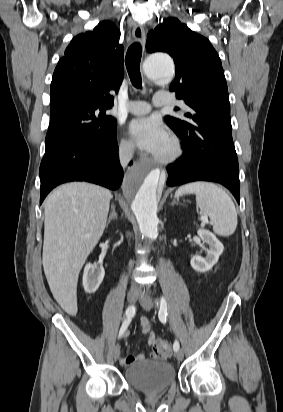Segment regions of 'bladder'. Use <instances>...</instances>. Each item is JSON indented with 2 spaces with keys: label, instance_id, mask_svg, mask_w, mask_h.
<instances>
[{
  "label": "bladder",
  "instance_id": "obj_1",
  "mask_svg": "<svg viewBox=\"0 0 283 412\" xmlns=\"http://www.w3.org/2000/svg\"><path fill=\"white\" fill-rule=\"evenodd\" d=\"M124 378L129 385L138 390L149 393L160 392L175 382L176 372L171 363L156 360L127 367Z\"/></svg>",
  "mask_w": 283,
  "mask_h": 412
}]
</instances>
